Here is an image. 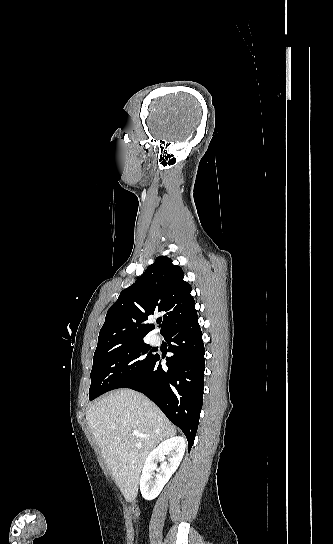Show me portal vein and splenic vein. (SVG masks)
<instances>
[{"mask_svg":"<svg viewBox=\"0 0 333 544\" xmlns=\"http://www.w3.org/2000/svg\"><path fill=\"white\" fill-rule=\"evenodd\" d=\"M133 435L135 437H143V438H147L148 436L145 435V434H141L138 430H133Z\"/></svg>","mask_w":333,"mask_h":544,"instance_id":"portal-vein-and-splenic-vein-1","label":"portal vein and splenic vein"}]
</instances>
